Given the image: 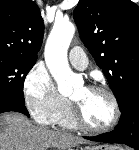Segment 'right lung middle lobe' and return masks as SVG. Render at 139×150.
I'll return each instance as SVG.
<instances>
[{
	"instance_id": "dd1d6c3e",
	"label": "right lung middle lobe",
	"mask_w": 139,
	"mask_h": 150,
	"mask_svg": "<svg viewBox=\"0 0 139 150\" xmlns=\"http://www.w3.org/2000/svg\"><path fill=\"white\" fill-rule=\"evenodd\" d=\"M36 60L0 52V94L24 100V80Z\"/></svg>"
}]
</instances>
